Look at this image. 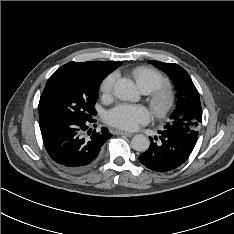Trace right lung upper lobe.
Instances as JSON below:
<instances>
[{"mask_svg":"<svg viewBox=\"0 0 234 234\" xmlns=\"http://www.w3.org/2000/svg\"><path fill=\"white\" fill-rule=\"evenodd\" d=\"M121 62H104V61H89V62H69L62 67L76 70L80 73L101 78L102 80L113 70L118 68Z\"/></svg>","mask_w":234,"mask_h":234,"instance_id":"1","label":"right lung upper lobe"}]
</instances>
